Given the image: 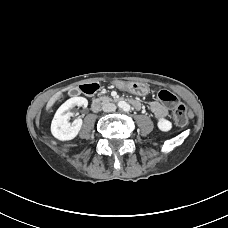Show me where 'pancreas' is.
<instances>
[{
  "label": "pancreas",
  "mask_w": 228,
  "mask_h": 228,
  "mask_svg": "<svg viewBox=\"0 0 228 228\" xmlns=\"http://www.w3.org/2000/svg\"><path fill=\"white\" fill-rule=\"evenodd\" d=\"M99 100L102 101L103 103H106V102L112 101V98L107 96H102L99 98Z\"/></svg>",
  "instance_id": "cf45deb5"
}]
</instances>
